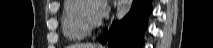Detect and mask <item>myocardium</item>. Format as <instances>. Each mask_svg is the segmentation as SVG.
<instances>
[{
	"instance_id": "obj_1",
	"label": "myocardium",
	"mask_w": 213,
	"mask_h": 48,
	"mask_svg": "<svg viewBox=\"0 0 213 48\" xmlns=\"http://www.w3.org/2000/svg\"><path fill=\"white\" fill-rule=\"evenodd\" d=\"M87 1H80V4L78 5L77 14L80 23L84 28H86L89 32L96 30L100 27V20L92 21L88 18V16L84 13V7Z\"/></svg>"
}]
</instances>
